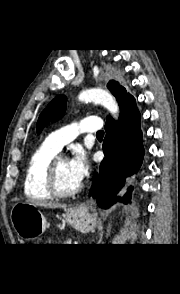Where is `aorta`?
<instances>
[{
  "label": "aorta",
  "mask_w": 180,
  "mask_h": 294,
  "mask_svg": "<svg viewBox=\"0 0 180 294\" xmlns=\"http://www.w3.org/2000/svg\"><path fill=\"white\" fill-rule=\"evenodd\" d=\"M81 102H95L105 107L113 116L119 114V106L115 98L107 91L93 88L82 91L78 96Z\"/></svg>",
  "instance_id": "1"
}]
</instances>
